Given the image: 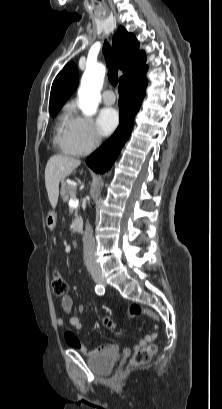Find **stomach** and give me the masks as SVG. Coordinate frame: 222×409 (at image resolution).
Listing matches in <instances>:
<instances>
[{
    "label": "stomach",
    "instance_id": "0dacf381",
    "mask_svg": "<svg viewBox=\"0 0 222 409\" xmlns=\"http://www.w3.org/2000/svg\"><path fill=\"white\" fill-rule=\"evenodd\" d=\"M46 223L50 229H54L56 225V214H49L47 216Z\"/></svg>",
    "mask_w": 222,
    "mask_h": 409
}]
</instances>
